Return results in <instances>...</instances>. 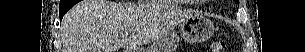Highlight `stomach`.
I'll list each match as a JSON object with an SVG mask.
<instances>
[{
	"label": "stomach",
	"instance_id": "0dacf381",
	"mask_svg": "<svg viewBox=\"0 0 305 52\" xmlns=\"http://www.w3.org/2000/svg\"><path fill=\"white\" fill-rule=\"evenodd\" d=\"M214 33V25L211 20L202 15H191L180 24L181 37L187 42H203ZM179 44L176 32L169 31L155 40L149 51L129 50L126 52H174Z\"/></svg>",
	"mask_w": 305,
	"mask_h": 52
}]
</instances>
